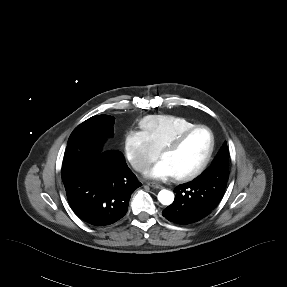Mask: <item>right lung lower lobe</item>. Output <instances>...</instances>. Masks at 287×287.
I'll return each mask as SVG.
<instances>
[{
  "instance_id": "98d812e1",
  "label": "right lung lower lobe",
  "mask_w": 287,
  "mask_h": 287,
  "mask_svg": "<svg viewBox=\"0 0 287 287\" xmlns=\"http://www.w3.org/2000/svg\"><path fill=\"white\" fill-rule=\"evenodd\" d=\"M105 139L83 136L68 141L62 180L74 213L92 226H106L127 212L131 194L141 186L118 151H104Z\"/></svg>"
}]
</instances>
